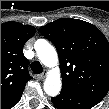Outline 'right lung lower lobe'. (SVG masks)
I'll use <instances>...</instances> for the list:
<instances>
[{
	"label": "right lung lower lobe",
	"instance_id": "1",
	"mask_svg": "<svg viewBox=\"0 0 109 109\" xmlns=\"http://www.w3.org/2000/svg\"><path fill=\"white\" fill-rule=\"evenodd\" d=\"M23 90L21 92H19L17 95H15L11 100H9L8 102H6L1 109H10L12 108L14 105H16V103L20 100L21 96H22Z\"/></svg>",
	"mask_w": 109,
	"mask_h": 109
}]
</instances>
